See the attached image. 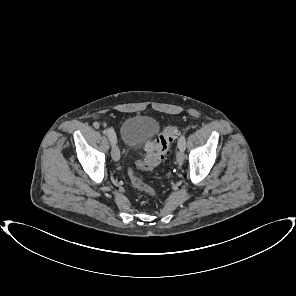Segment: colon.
Segmentation results:
<instances>
[{"instance_id": "colon-1", "label": "colon", "mask_w": 296, "mask_h": 296, "mask_svg": "<svg viewBox=\"0 0 296 296\" xmlns=\"http://www.w3.org/2000/svg\"><path fill=\"white\" fill-rule=\"evenodd\" d=\"M178 134L179 129L177 126L171 125L165 128L154 141H151L146 145L145 159L136 160L135 165L142 170H152L158 166L164 158L169 155L171 142ZM129 178L136 189L149 196H155L156 192L154 188L137 177L132 169L129 171Z\"/></svg>"}]
</instances>
